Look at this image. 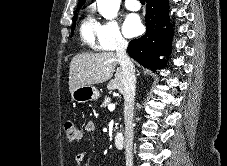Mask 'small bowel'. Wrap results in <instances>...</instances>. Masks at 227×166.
Listing matches in <instances>:
<instances>
[{"label": "small bowel", "mask_w": 227, "mask_h": 166, "mask_svg": "<svg viewBox=\"0 0 227 166\" xmlns=\"http://www.w3.org/2000/svg\"><path fill=\"white\" fill-rule=\"evenodd\" d=\"M85 130H86L87 133L92 134L96 131V126L93 122H89L86 125ZM86 157H87V152L83 151V152H80L79 154H77L75 159L78 163H81L82 161L85 160Z\"/></svg>", "instance_id": "c3829d8e"}]
</instances>
